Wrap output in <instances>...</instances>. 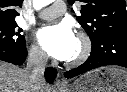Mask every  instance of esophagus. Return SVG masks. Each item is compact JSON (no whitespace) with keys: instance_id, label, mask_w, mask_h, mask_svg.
<instances>
[{"instance_id":"1","label":"esophagus","mask_w":127,"mask_h":92,"mask_svg":"<svg viewBox=\"0 0 127 92\" xmlns=\"http://www.w3.org/2000/svg\"><path fill=\"white\" fill-rule=\"evenodd\" d=\"M66 86V82L61 80V79H56L55 81V87L60 88V87H65Z\"/></svg>"}]
</instances>
